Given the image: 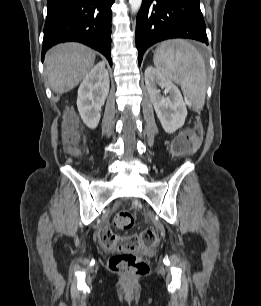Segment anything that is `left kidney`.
Here are the masks:
<instances>
[{
	"instance_id": "obj_1",
	"label": "left kidney",
	"mask_w": 261,
	"mask_h": 306,
	"mask_svg": "<svg viewBox=\"0 0 261 306\" xmlns=\"http://www.w3.org/2000/svg\"><path fill=\"white\" fill-rule=\"evenodd\" d=\"M145 84L163 129L168 134L174 133L184 125L187 116L180 90L152 66L145 70ZM158 86L164 89L165 96Z\"/></svg>"
}]
</instances>
